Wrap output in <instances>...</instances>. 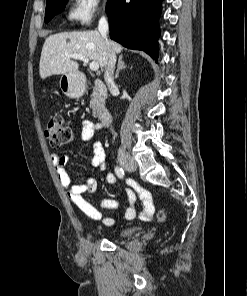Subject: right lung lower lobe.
Returning <instances> with one entry per match:
<instances>
[{"mask_svg": "<svg viewBox=\"0 0 247 296\" xmlns=\"http://www.w3.org/2000/svg\"><path fill=\"white\" fill-rule=\"evenodd\" d=\"M162 0H109L106 6L110 37L130 49L158 58V20Z\"/></svg>", "mask_w": 247, "mask_h": 296, "instance_id": "98d812e1", "label": "right lung lower lobe"}]
</instances>
